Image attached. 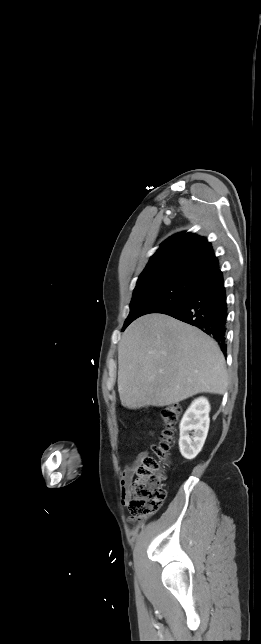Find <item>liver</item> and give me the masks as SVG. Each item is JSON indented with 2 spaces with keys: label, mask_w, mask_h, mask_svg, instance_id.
I'll return each instance as SVG.
<instances>
[{
  "label": "liver",
  "mask_w": 261,
  "mask_h": 644,
  "mask_svg": "<svg viewBox=\"0 0 261 644\" xmlns=\"http://www.w3.org/2000/svg\"><path fill=\"white\" fill-rule=\"evenodd\" d=\"M118 391L128 409L164 407L198 393L223 395L224 356L201 330L164 314L132 322L118 345Z\"/></svg>",
  "instance_id": "obj_1"
}]
</instances>
